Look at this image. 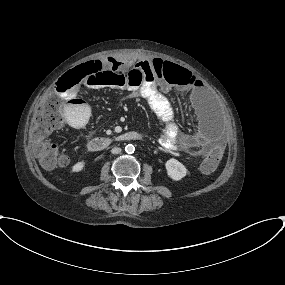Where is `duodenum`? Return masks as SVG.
Here are the masks:
<instances>
[{
    "instance_id": "1",
    "label": "duodenum",
    "mask_w": 285,
    "mask_h": 285,
    "mask_svg": "<svg viewBox=\"0 0 285 285\" xmlns=\"http://www.w3.org/2000/svg\"><path fill=\"white\" fill-rule=\"evenodd\" d=\"M142 139V135L136 131L124 132L115 136H105L92 139L89 144V150L92 152H98L105 150L106 148L117 145L120 143L138 141Z\"/></svg>"
}]
</instances>
